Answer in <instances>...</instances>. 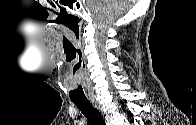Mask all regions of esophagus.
Masks as SVG:
<instances>
[{"instance_id":"34e87169","label":"esophagus","mask_w":196,"mask_h":125,"mask_svg":"<svg viewBox=\"0 0 196 125\" xmlns=\"http://www.w3.org/2000/svg\"><path fill=\"white\" fill-rule=\"evenodd\" d=\"M89 101L92 103V105L101 113L104 121H105V124L106 125H109V120L107 118V116L104 114L103 110H102V107L101 105L98 103V101L94 98H90Z\"/></svg>"}]
</instances>
